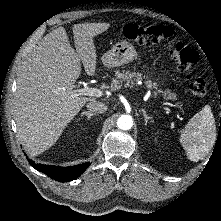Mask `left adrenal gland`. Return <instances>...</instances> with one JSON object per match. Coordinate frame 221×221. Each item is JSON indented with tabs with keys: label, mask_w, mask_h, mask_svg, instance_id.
<instances>
[{
	"label": "left adrenal gland",
	"mask_w": 221,
	"mask_h": 221,
	"mask_svg": "<svg viewBox=\"0 0 221 221\" xmlns=\"http://www.w3.org/2000/svg\"><path fill=\"white\" fill-rule=\"evenodd\" d=\"M141 112L143 113V116H144V119H145V125H147L148 121L151 120L152 121V117L151 116H148L146 114V111L145 110H141Z\"/></svg>",
	"instance_id": "obj_1"
}]
</instances>
